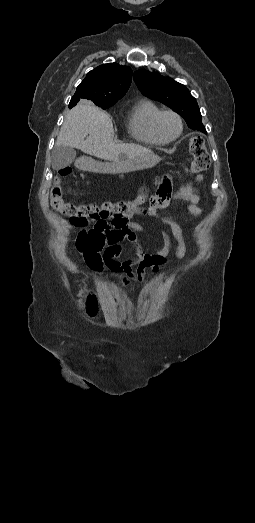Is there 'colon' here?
<instances>
[{
    "label": "colon",
    "mask_w": 255,
    "mask_h": 523,
    "mask_svg": "<svg viewBox=\"0 0 255 523\" xmlns=\"http://www.w3.org/2000/svg\"><path fill=\"white\" fill-rule=\"evenodd\" d=\"M192 161L188 168L191 174L206 171L210 166V157L206 149L204 139L199 135H192L188 142ZM69 168H62L55 177L51 189V206L60 214L68 216L70 221L77 225H87L95 222H111L120 226L125 222V216L137 206L146 202V195L139 194L133 201L104 202L101 204H73L64 200V192L61 187V179L69 175ZM170 181L163 178L158 182L156 197L164 198L168 193Z\"/></svg>",
    "instance_id": "5ec220e1"
}]
</instances>
